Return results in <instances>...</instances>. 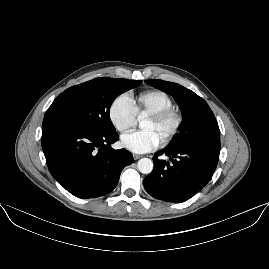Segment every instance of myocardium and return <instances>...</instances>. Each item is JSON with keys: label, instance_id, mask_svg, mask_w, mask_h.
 Listing matches in <instances>:
<instances>
[{"label": "myocardium", "instance_id": "obj_1", "mask_svg": "<svg viewBox=\"0 0 269 269\" xmlns=\"http://www.w3.org/2000/svg\"><path fill=\"white\" fill-rule=\"evenodd\" d=\"M148 116L155 117L160 120H167V119L173 120V129L170 135L168 136V138L166 139V141L162 143V147H168L172 145L176 141V139L179 137L183 129L184 117L182 113L178 109L174 107H170L167 109L154 111L150 113Z\"/></svg>", "mask_w": 269, "mask_h": 269}]
</instances>
